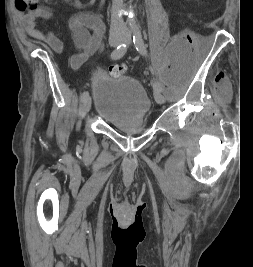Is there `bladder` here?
Here are the masks:
<instances>
[{"mask_svg": "<svg viewBox=\"0 0 253 267\" xmlns=\"http://www.w3.org/2000/svg\"><path fill=\"white\" fill-rule=\"evenodd\" d=\"M96 114L110 123L143 119L150 99L142 84L129 76L99 73L93 82Z\"/></svg>", "mask_w": 253, "mask_h": 267, "instance_id": "31cf9c89", "label": "bladder"}]
</instances>
